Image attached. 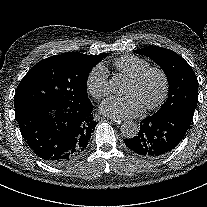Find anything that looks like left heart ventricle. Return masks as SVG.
Returning <instances> with one entry per match:
<instances>
[{"label":"left heart ventricle","mask_w":207,"mask_h":207,"mask_svg":"<svg viewBox=\"0 0 207 207\" xmlns=\"http://www.w3.org/2000/svg\"><path fill=\"white\" fill-rule=\"evenodd\" d=\"M162 92V79L156 73L150 74L141 84L128 82L125 94L135 96L145 109L156 102Z\"/></svg>","instance_id":"1"}]
</instances>
